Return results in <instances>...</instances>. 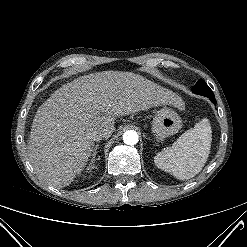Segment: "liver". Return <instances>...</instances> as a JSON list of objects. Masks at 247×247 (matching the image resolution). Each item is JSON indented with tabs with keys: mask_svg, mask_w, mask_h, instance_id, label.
Masks as SVG:
<instances>
[{
	"mask_svg": "<svg viewBox=\"0 0 247 247\" xmlns=\"http://www.w3.org/2000/svg\"><path fill=\"white\" fill-rule=\"evenodd\" d=\"M181 107L172 91L131 72L103 71L74 79L54 91L37 110L28 146L39 177L55 188L68 186L93 152L89 134L109 138L115 118L160 105Z\"/></svg>",
	"mask_w": 247,
	"mask_h": 247,
	"instance_id": "obj_1",
	"label": "liver"
}]
</instances>
